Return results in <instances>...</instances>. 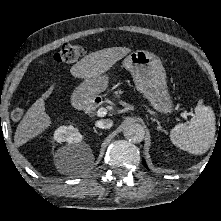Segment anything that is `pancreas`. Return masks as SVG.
Listing matches in <instances>:
<instances>
[{
    "label": "pancreas",
    "instance_id": "pancreas-1",
    "mask_svg": "<svg viewBox=\"0 0 221 221\" xmlns=\"http://www.w3.org/2000/svg\"><path fill=\"white\" fill-rule=\"evenodd\" d=\"M121 94H122V91H121V90L116 91V92H115V97L119 98Z\"/></svg>",
    "mask_w": 221,
    "mask_h": 221
}]
</instances>
